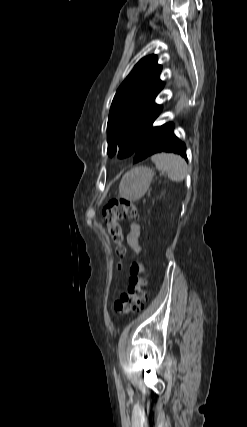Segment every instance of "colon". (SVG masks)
Here are the masks:
<instances>
[{
	"mask_svg": "<svg viewBox=\"0 0 247 427\" xmlns=\"http://www.w3.org/2000/svg\"><path fill=\"white\" fill-rule=\"evenodd\" d=\"M139 213L135 205L127 199L111 200L103 209L106 231L115 245L118 256L126 252L121 222L125 219L137 218ZM121 267V265H119ZM146 269L141 261H134L130 266V277L127 291L114 303L117 315H126L143 309L147 295L145 292Z\"/></svg>",
	"mask_w": 247,
	"mask_h": 427,
	"instance_id": "1",
	"label": "colon"
}]
</instances>
